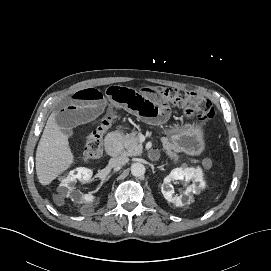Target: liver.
Listing matches in <instances>:
<instances>
[{
    "mask_svg": "<svg viewBox=\"0 0 271 271\" xmlns=\"http://www.w3.org/2000/svg\"><path fill=\"white\" fill-rule=\"evenodd\" d=\"M56 112L49 116L36 151V173L42 185L50 184L74 161L68 136L56 123Z\"/></svg>",
    "mask_w": 271,
    "mask_h": 271,
    "instance_id": "obj_1",
    "label": "liver"
}]
</instances>
